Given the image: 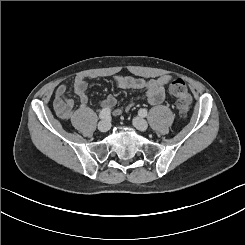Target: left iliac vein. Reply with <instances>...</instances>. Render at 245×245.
<instances>
[{
  "label": "left iliac vein",
  "mask_w": 245,
  "mask_h": 245,
  "mask_svg": "<svg viewBox=\"0 0 245 245\" xmlns=\"http://www.w3.org/2000/svg\"><path fill=\"white\" fill-rule=\"evenodd\" d=\"M134 126L140 131H146L148 128V123L142 117H135L133 119Z\"/></svg>",
  "instance_id": "left-iliac-vein-1"
}]
</instances>
